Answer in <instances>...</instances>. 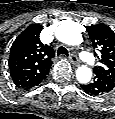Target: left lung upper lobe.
Masks as SVG:
<instances>
[{"label": "left lung upper lobe", "mask_w": 115, "mask_h": 119, "mask_svg": "<svg viewBox=\"0 0 115 119\" xmlns=\"http://www.w3.org/2000/svg\"><path fill=\"white\" fill-rule=\"evenodd\" d=\"M87 30L93 46L100 52L101 64L95 68V73L115 82V33L104 24L88 26Z\"/></svg>", "instance_id": "1"}]
</instances>
